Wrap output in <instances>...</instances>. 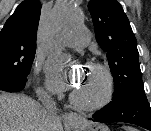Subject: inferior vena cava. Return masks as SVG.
<instances>
[{
  "mask_svg": "<svg viewBox=\"0 0 151 131\" xmlns=\"http://www.w3.org/2000/svg\"><path fill=\"white\" fill-rule=\"evenodd\" d=\"M43 104L46 107V109L50 112V114L52 115V119H53V124H54V129H52L53 131H57L58 126L60 125V120L57 116H55L54 114V110L56 109L55 107V102L50 99V97L48 95L45 96V99L43 100Z\"/></svg>",
  "mask_w": 151,
  "mask_h": 131,
  "instance_id": "inferior-vena-cava-1",
  "label": "inferior vena cava"
}]
</instances>
